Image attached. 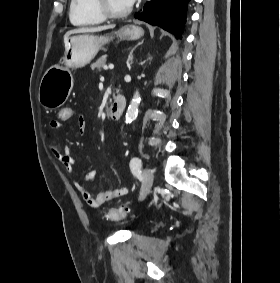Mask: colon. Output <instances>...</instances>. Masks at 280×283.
<instances>
[{"instance_id": "colon-1", "label": "colon", "mask_w": 280, "mask_h": 283, "mask_svg": "<svg viewBox=\"0 0 280 283\" xmlns=\"http://www.w3.org/2000/svg\"><path fill=\"white\" fill-rule=\"evenodd\" d=\"M75 110L76 109L73 107V105H61V107L57 109V119H59L60 122H71L72 115ZM127 214L128 210L123 207L110 208L106 214V217L110 221H119L126 217Z\"/></svg>"}]
</instances>
